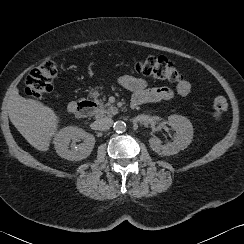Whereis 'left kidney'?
Wrapping results in <instances>:
<instances>
[{"instance_id": "left-kidney-1", "label": "left kidney", "mask_w": 244, "mask_h": 244, "mask_svg": "<svg viewBox=\"0 0 244 244\" xmlns=\"http://www.w3.org/2000/svg\"><path fill=\"white\" fill-rule=\"evenodd\" d=\"M169 125L175 131L173 142L165 145L157 137H151L149 144L151 149L162 156L175 155L190 145L193 139V126L189 119L181 115H170L168 117Z\"/></svg>"}]
</instances>
